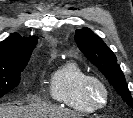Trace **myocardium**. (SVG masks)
<instances>
[{"label":"myocardium","instance_id":"myocardium-1","mask_svg":"<svg viewBox=\"0 0 133 118\" xmlns=\"http://www.w3.org/2000/svg\"><path fill=\"white\" fill-rule=\"evenodd\" d=\"M99 88L103 93L100 102L94 98V88ZM83 94L86 102L94 109L100 110L107 106L110 99V91L105 82L97 76L89 75L83 83Z\"/></svg>","mask_w":133,"mask_h":118}]
</instances>
